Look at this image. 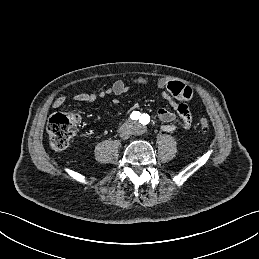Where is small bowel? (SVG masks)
Segmentation results:
<instances>
[{"label": "small bowel", "mask_w": 259, "mask_h": 259, "mask_svg": "<svg viewBox=\"0 0 259 259\" xmlns=\"http://www.w3.org/2000/svg\"><path fill=\"white\" fill-rule=\"evenodd\" d=\"M147 84L148 80L145 78H137L131 83H126L124 81L118 80L115 81L109 88L102 90L99 93L83 92L76 94L73 99L77 102L94 103L98 98H104L110 95H123L134 86H145ZM156 86L166 91V93H164V97L170 102L175 110V112H172L166 108L158 109L157 116L162 123V130L167 133L175 131V121L177 119H179L183 129H190L193 125V120L186 105V102L191 99L192 90L179 81L166 79H161L157 81ZM66 100V96L57 97L53 102V107H62L65 104ZM137 107L138 105L134 104L133 109H136Z\"/></svg>", "instance_id": "c3829d8e"}]
</instances>
